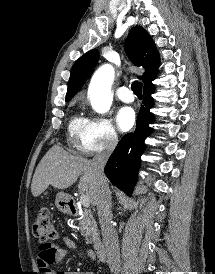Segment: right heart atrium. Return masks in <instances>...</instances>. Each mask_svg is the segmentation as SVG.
Wrapping results in <instances>:
<instances>
[{"label":"right heart atrium","mask_w":215,"mask_h":274,"mask_svg":"<svg viewBox=\"0 0 215 274\" xmlns=\"http://www.w3.org/2000/svg\"><path fill=\"white\" fill-rule=\"evenodd\" d=\"M119 137L111 121L103 116H92L86 121V128L77 142V150L85 155L112 151Z\"/></svg>","instance_id":"d8ad5b80"}]
</instances>
